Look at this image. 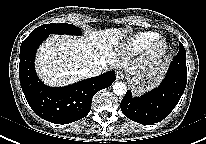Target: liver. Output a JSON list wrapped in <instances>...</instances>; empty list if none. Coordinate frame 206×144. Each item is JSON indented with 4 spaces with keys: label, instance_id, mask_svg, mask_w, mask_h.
Segmentation results:
<instances>
[{
    "label": "liver",
    "instance_id": "6515ba94",
    "mask_svg": "<svg viewBox=\"0 0 206 144\" xmlns=\"http://www.w3.org/2000/svg\"><path fill=\"white\" fill-rule=\"evenodd\" d=\"M123 33L119 28H110L88 31L82 38L52 36L38 50L36 71L45 84L65 86L85 78L84 68L93 65L105 68L107 64L116 68L119 38ZM120 65L130 73L136 69L127 59Z\"/></svg>",
    "mask_w": 206,
    "mask_h": 144
}]
</instances>
